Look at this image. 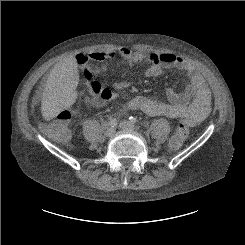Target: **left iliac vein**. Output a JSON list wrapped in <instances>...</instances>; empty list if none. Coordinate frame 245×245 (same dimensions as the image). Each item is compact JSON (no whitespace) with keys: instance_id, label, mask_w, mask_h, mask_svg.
<instances>
[{"instance_id":"left-iliac-vein-1","label":"left iliac vein","mask_w":245,"mask_h":245,"mask_svg":"<svg viewBox=\"0 0 245 245\" xmlns=\"http://www.w3.org/2000/svg\"><path fill=\"white\" fill-rule=\"evenodd\" d=\"M119 127L122 130H126V131H134L135 130V126L129 121H121L119 124Z\"/></svg>"}]
</instances>
